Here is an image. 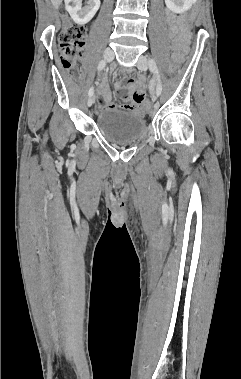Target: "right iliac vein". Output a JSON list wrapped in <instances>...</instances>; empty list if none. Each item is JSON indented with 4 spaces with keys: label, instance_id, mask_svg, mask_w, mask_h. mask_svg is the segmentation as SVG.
I'll return each instance as SVG.
<instances>
[{
    "label": "right iliac vein",
    "instance_id": "63e3f726",
    "mask_svg": "<svg viewBox=\"0 0 241 379\" xmlns=\"http://www.w3.org/2000/svg\"><path fill=\"white\" fill-rule=\"evenodd\" d=\"M103 58L105 61L110 62L114 59V52L111 49H106L103 54ZM95 101L94 96H91L88 99L87 105L88 107H91Z\"/></svg>",
    "mask_w": 241,
    "mask_h": 379
}]
</instances>
